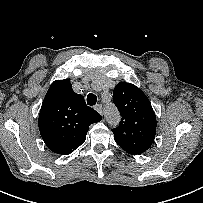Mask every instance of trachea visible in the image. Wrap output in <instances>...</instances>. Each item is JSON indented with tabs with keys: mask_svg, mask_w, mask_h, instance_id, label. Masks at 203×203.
Wrapping results in <instances>:
<instances>
[{
	"mask_svg": "<svg viewBox=\"0 0 203 203\" xmlns=\"http://www.w3.org/2000/svg\"><path fill=\"white\" fill-rule=\"evenodd\" d=\"M96 102H97V97H96V95L93 94V93H89V94L87 95V104L90 105V106H93V105L96 104Z\"/></svg>",
	"mask_w": 203,
	"mask_h": 203,
	"instance_id": "1",
	"label": "trachea"
}]
</instances>
